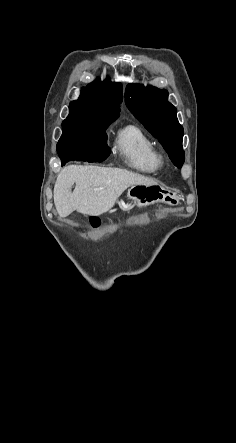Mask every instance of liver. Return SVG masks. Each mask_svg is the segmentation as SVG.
<instances>
[{
    "mask_svg": "<svg viewBox=\"0 0 236 443\" xmlns=\"http://www.w3.org/2000/svg\"><path fill=\"white\" fill-rule=\"evenodd\" d=\"M156 184L150 178L119 168L72 165L58 174L54 204L60 217L69 216L73 211L97 216L111 210L128 187Z\"/></svg>",
    "mask_w": 236,
    "mask_h": 443,
    "instance_id": "1",
    "label": "liver"
}]
</instances>
